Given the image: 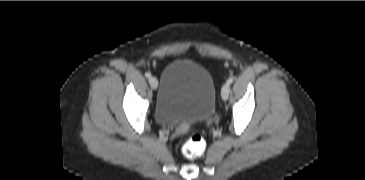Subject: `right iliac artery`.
<instances>
[{
  "instance_id": "1",
  "label": "right iliac artery",
  "mask_w": 365,
  "mask_h": 180,
  "mask_svg": "<svg viewBox=\"0 0 365 180\" xmlns=\"http://www.w3.org/2000/svg\"><path fill=\"white\" fill-rule=\"evenodd\" d=\"M145 76H146L147 78H150V77H151V74H150L149 72H146V73H145Z\"/></svg>"
}]
</instances>
